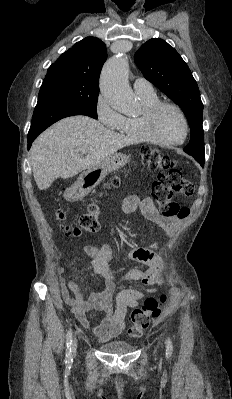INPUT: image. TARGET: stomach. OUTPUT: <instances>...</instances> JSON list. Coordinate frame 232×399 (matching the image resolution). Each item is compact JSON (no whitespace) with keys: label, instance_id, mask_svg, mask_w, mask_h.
<instances>
[{"label":"stomach","instance_id":"obj_1","mask_svg":"<svg viewBox=\"0 0 232 399\" xmlns=\"http://www.w3.org/2000/svg\"><path fill=\"white\" fill-rule=\"evenodd\" d=\"M128 162H130V158L129 156H125V154H110V156H107V158L101 162L98 168H91V170L84 172V174H82L81 190H79L80 196H77V198H81L83 194H87V192L93 190L95 186H98V184L102 182L107 174L115 172V170H119V168H123Z\"/></svg>","mask_w":232,"mask_h":399}]
</instances>
